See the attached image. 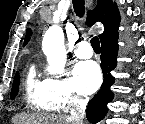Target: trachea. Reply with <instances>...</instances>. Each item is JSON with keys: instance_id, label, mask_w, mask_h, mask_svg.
<instances>
[{"instance_id": "obj_1", "label": "trachea", "mask_w": 145, "mask_h": 124, "mask_svg": "<svg viewBox=\"0 0 145 124\" xmlns=\"http://www.w3.org/2000/svg\"><path fill=\"white\" fill-rule=\"evenodd\" d=\"M84 4H85L84 0H73L74 11L76 15L79 17H82L84 15L85 12ZM90 42L94 51L97 52L100 51V42L98 37L96 36L93 37Z\"/></svg>"}]
</instances>
